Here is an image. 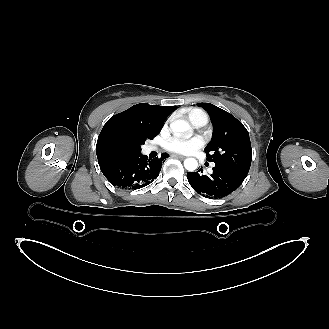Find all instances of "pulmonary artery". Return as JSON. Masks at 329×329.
<instances>
[{
	"label": "pulmonary artery",
	"instance_id": "1",
	"mask_svg": "<svg viewBox=\"0 0 329 329\" xmlns=\"http://www.w3.org/2000/svg\"><path fill=\"white\" fill-rule=\"evenodd\" d=\"M207 121L208 120H206V119H200L197 122H195L194 125L196 127H202V126L206 125Z\"/></svg>",
	"mask_w": 329,
	"mask_h": 329
}]
</instances>
